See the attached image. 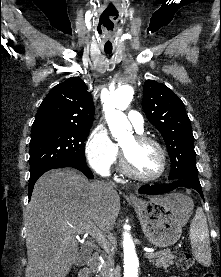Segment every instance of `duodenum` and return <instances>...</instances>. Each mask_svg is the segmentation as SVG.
<instances>
[{
  "label": "duodenum",
  "instance_id": "obj_1",
  "mask_svg": "<svg viewBox=\"0 0 221 277\" xmlns=\"http://www.w3.org/2000/svg\"><path fill=\"white\" fill-rule=\"evenodd\" d=\"M100 261V255L98 253L93 254L87 268L81 272L80 277H88L90 272L96 271L100 265Z\"/></svg>",
  "mask_w": 221,
  "mask_h": 277
}]
</instances>
